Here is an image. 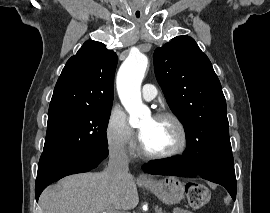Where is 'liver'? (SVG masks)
Returning <instances> with one entry per match:
<instances>
[{
	"label": "liver",
	"instance_id": "liver-1",
	"mask_svg": "<svg viewBox=\"0 0 270 213\" xmlns=\"http://www.w3.org/2000/svg\"><path fill=\"white\" fill-rule=\"evenodd\" d=\"M139 202L131 175L111 179L106 170L71 175L40 196L43 213H102L133 209Z\"/></svg>",
	"mask_w": 270,
	"mask_h": 213
}]
</instances>
